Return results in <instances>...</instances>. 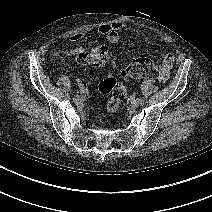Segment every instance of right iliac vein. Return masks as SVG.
I'll return each mask as SVG.
<instances>
[{"instance_id": "63e3f726", "label": "right iliac vein", "mask_w": 212, "mask_h": 212, "mask_svg": "<svg viewBox=\"0 0 212 212\" xmlns=\"http://www.w3.org/2000/svg\"><path fill=\"white\" fill-rule=\"evenodd\" d=\"M73 100H74L75 102H78V101L80 100V97H79L78 95H75V96L73 97Z\"/></svg>"}]
</instances>
